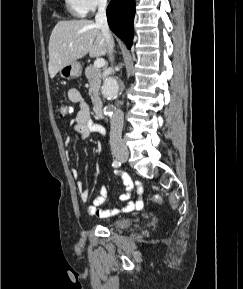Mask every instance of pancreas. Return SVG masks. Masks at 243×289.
Returning <instances> with one entry per match:
<instances>
[{"label": "pancreas", "mask_w": 243, "mask_h": 289, "mask_svg": "<svg viewBox=\"0 0 243 289\" xmlns=\"http://www.w3.org/2000/svg\"><path fill=\"white\" fill-rule=\"evenodd\" d=\"M85 75L89 82V95L93 103L99 100L98 92L101 85V70L92 65L85 68Z\"/></svg>", "instance_id": "cf45deb5"}]
</instances>
